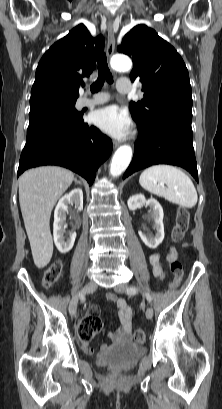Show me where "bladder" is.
Returning <instances> with one entry per match:
<instances>
[{
  "mask_svg": "<svg viewBox=\"0 0 222 409\" xmlns=\"http://www.w3.org/2000/svg\"><path fill=\"white\" fill-rule=\"evenodd\" d=\"M146 349L133 342L115 344L95 357V363L100 367L115 366L123 370L132 368Z\"/></svg>",
  "mask_w": 222,
  "mask_h": 409,
  "instance_id": "1",
  "label": "bladder"
}]
</instances>
